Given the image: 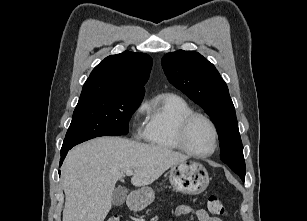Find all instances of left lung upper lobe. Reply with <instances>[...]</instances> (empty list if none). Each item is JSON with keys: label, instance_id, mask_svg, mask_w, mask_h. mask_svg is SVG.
Here are the masks:
<instances>
[{"label": "left lung upper lobe", "instance_id": "1", "mask_svg": "<svg viewBox=\"0 0 307 221\" xmlns=\"http://www.w3.org/2000/svg\"><path fill=\"white\" fill-rule=\"evenodd\" d=\"M164 72L176 88L201 106L215 122L221 160L240 177L246 166L238 123L228 87L215 66L195 51L178 50L162 58Z\"/></svg>", "mask_w": 307, "mask_h": 221}]
</instances>
